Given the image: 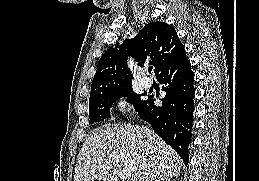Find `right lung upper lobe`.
Masks as SVG:
<instances>
[{"mask_svg": "<svg viewBox=\"0 0 259 181\" xmlns=\"http://www.w3.org/2000/svg\"><path fill=\"white\" fill-rule=\"evenodd\" d=\"M185 51L175 29L164 22H151L133 39L111 46L100 58L92 81L90 98L108 91L132 87L127 58L131 56L144 66L151 60L157 75Z\"/></svg>", "mask_w": 259, "mask_h": 181, "instance_id": "1", "label": "right lung upper lobe"}]
</instances>
